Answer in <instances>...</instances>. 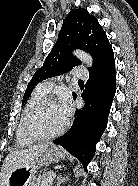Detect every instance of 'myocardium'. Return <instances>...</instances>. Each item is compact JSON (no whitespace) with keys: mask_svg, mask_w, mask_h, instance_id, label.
I'll list each match as a JSON object with an SVG mask.
<instances>
[{"mask_svg":"<svg viewBox=\"0 0 138 186\" xmlns=\"http://www.w3.org/2000/svg\"><path fill=\"white\" fill-rule=\"evenodd\" d=\"M53 103H57V101L52 98V97H46L44 99H42L41 101H39L37 104H35L26 114L24 121H23V131L24 134L35 141H44V140H51L54 139L56 137H59L60 135H62L68 128L69 125V119L67 118L65 121V124L63 125V127L56 131L55 133L52 134H47V135H42V134H38L36 132H34L31 129L30 126V122L31 119L34 117V115L39 112L41 109H43L45 106L49 105V104H53Z\"/></svg>","mask_w":138,"mask_h":186,"instance_id":"myocardium-1","label":"myocardium"}]
</instances>
